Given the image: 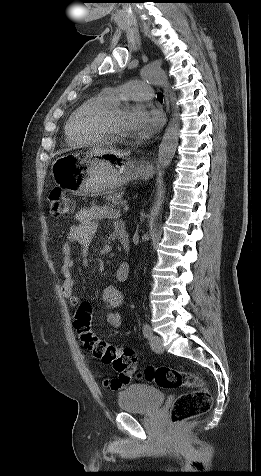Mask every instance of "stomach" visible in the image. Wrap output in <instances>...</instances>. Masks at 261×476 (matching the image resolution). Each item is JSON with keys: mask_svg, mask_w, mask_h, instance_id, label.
Returning <instances> with one entry per match:
<instances>
[{"mask_svg": "<svg viewBox=\"0 0 261 476\" xmlns=\"http://www.w3.org/2000/svg\"><path fill=\"white\" fill-rule=\"evenodd\" d=\"M116 152L79 151L75 156H59L54 164L57 183L61 190H72L73 195H97L112 192L131 180H147L154 167L145 161L122 158Z\"/></svg>", "mask_w": 261, "mask_h": 476, "instance_id": "1", "label": "stomach"}]
</instances>
